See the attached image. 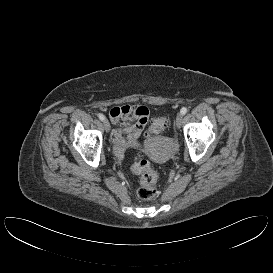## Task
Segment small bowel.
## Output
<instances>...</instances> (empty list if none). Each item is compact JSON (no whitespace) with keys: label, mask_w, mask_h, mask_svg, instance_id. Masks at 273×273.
<instances>
[{"label":"small bowel","mask_w":273,"mask_h":273,"mask_svg":"<svg viewBox=\"0 0 273 273\" xmlns=\"http://www.w3.org/2000/svg\"><path fill=\"white\" fill-rule=\"evenodd\" d=\"M117 128L112 132L115 155L123 159L126 149L135 145L142 136L148 122L149 110L145 106H117L109 112Z\"/></svg>","instance_id":"c3829d8e"}]
</instances>
